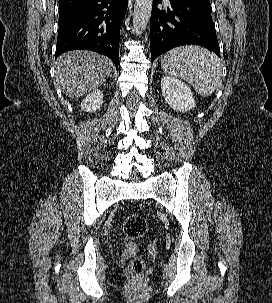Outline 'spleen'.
<instances>
[{
  "mask_svg": "<svg viewBox=\"0 0 272 303\" xmlns=\"http://www.w3.org/2000/svg\"><path fill=\"white\" fill-rule=\"evenodd\" d=\"M163 72L190 83L202 97L211 96L222 77L219 58L199 46H182L163 55Z\"/></svg>",
  "mask_w": 272,
  "mask_h": 303,
  "instance_id": "obj_1",
  "label": "spleen"
}]
</instances>
